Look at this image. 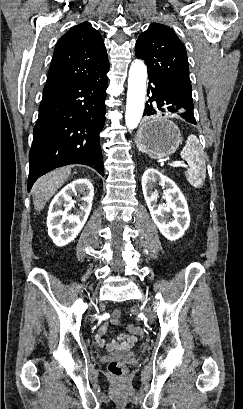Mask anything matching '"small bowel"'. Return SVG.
Returning <instances> with one entry per match:
<instances>
[{
	"mask_svg": "<svg viewBox=\"0 0 243 409\" xmlns=\"http://www.w3.org/2000/svg\"><path fill=\"white\" fill-rule=\"evenodd\" d=\"M107 327H108V323L107 322L103 323L99 327L97 333L95 334V341L100 347H106V349L109 351L118 350V349H129L137 341V335L131 333V334H121L116 339L106 344L104 340V334L107 331Z\"/></svg>",
	"mask_w": 243,
	"mask_h": 409,
	"instance_id": "1",
	"label": "small bowel"
}]
</instances>
